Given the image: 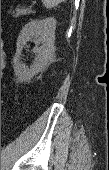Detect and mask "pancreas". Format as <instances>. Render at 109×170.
Here are the masks:
<instances>
[{
	"mask_svg": "<svg viewBox=\"0 0 109 170\" xmlns=\"http://www.w3.org/2000/svg\"><path fill=\"white\" fill-rule=\"evenodd\" d=\"M13 12H15L13 14V17H19V16L31 14L33 13V10L31 7L19 6Z\"/></svg>",
	"mask_w": 109,
	"mask_h": 170,
	"instance_id": "obj_1",
	"label": "pancreas"
}]
</instances>
